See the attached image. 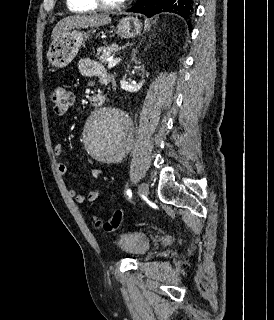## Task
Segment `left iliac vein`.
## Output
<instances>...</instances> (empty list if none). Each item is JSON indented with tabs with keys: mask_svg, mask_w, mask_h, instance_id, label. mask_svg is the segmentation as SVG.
Segmentation results:
<instances>
[{
	"mask_svg": "<svg viewBox=\"0 0 274 320\" xmlns=\"http://www.w3.org/2000/svg\"><path fill=\"white\" fill-rule=\"evenodd\" d=\"M139 191L143 198H147L149 195V187L146 183H142L139 186Z\"/></svg>",
	"mask_w": 274,
	"mask_h": 320,
	"instance_id": "left-iliac-vein-1",
	"label": "left iliac vein"
}]
</instances>
